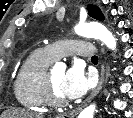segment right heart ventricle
Returning <instances> with one entry per match:
<instances>
[{
  "instance_id": "e07e8e85",
  "label": "right heart ventricle",
  "mask_w": 133,
  "mask_h": 118,
  "mask_svg": "<svg viewBox=\"0 0 133 118\" xmlns=\"http://www.w3.org/2000/svg\"><path fill=\"white\" fill-rule=\"evenodd\" d=\"M52 62L43 49L33 51L25 59L13 84L14 97L20 106L28 110L45 106L43 81L47 67Z\"/></svg>"
}]
</instances>
